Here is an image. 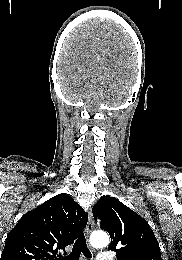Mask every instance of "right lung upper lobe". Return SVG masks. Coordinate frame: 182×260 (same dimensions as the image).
Segmentation results:
<instances>
[{
    "instance_id": "right-lung-upper-lobe-1",
    "label": "right lung upper lobe",
    "mask_w": 182,
    "mask_h": 260,
    "mask_svg": "<svg viewBox=\"0 0 182 260\" xmlns=\"http://www.w3.org/2000/svg\"><path fill=\"white\" fill-rule=\"evenodd\" d=\"M88 216L67 194L27 212L7 235L1 260H58L85 228Z\"/></svg>"
}]
</instances>
